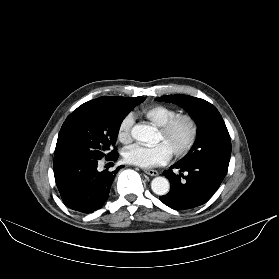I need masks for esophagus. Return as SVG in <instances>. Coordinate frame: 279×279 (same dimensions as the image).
<instances>
[{"label":"esophagus","instance_id":"obj_1","mask_svg":"<svg viewBox=\"0 0 279 279\" xmlns=\"http://www.w3.org/2000/svg\"><path fill=\"white\" fill-rule=\"evenodd\" d=\"M144 172L150 176H158V172L156 170H152V169H145Z\"/></svg>","mask_w":279,"mask_h":279}]
</instances>
